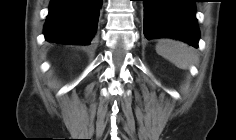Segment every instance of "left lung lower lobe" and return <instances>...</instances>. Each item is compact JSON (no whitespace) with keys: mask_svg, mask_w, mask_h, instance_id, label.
Instances as JSON below:
<instances>
[{"mask_svg":"<svg viewBox=\"0 0 236 140\" xmlns=\"http://www.w3.org/2000/svg\"><path fill=\"white\" fill-rule=\"evenodd\" d=\"M147 39L176 38L197 48L199 28L195 0H143Z\"/></svg>","mask_w":236,"mask_h":140,"instance_id":"0a47b994","label":"left lung lower lobe"}]
</instances>
